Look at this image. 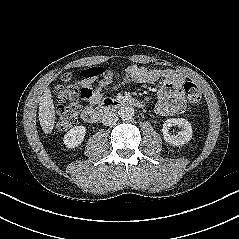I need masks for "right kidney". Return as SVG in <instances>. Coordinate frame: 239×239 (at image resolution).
<instances>
[{"label": "right kidney", "instance_id": "ca27d5eb", "mask_svg": "<svg viewBox=\"0 0 239 239\" xmlns=\"http://www.w3.org/2000/svg\"><path fill=\"white\" fill-rule=\"evenodd\" d=\"M85 135L86 127L75 126L64 135V144L67 148L78 147L83 142Z\"/></svg>", "mask_w": 239, "mask_h": 239}]
</instances>
